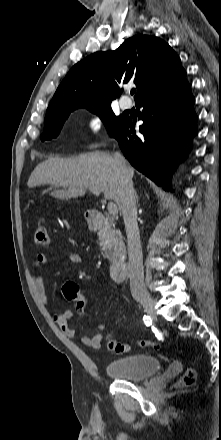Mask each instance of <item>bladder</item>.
I'll use <instances>...</instances> for the list:
<instances>
[{"label": "bladder", "mask_w": 221, "mask_h": 440, "mask_svg": "<svg viewBox=\"0 0 221 440\" xmlns=\"http://www.w3.org/2000/svg\"><path fill=\"white\" fill-rule=\"evenodd\" d=\"M160 368L161 361L157 356L137 354L109 361L105 371L117 379L141 381L157 374Z\"/></svg>", "instance_id": "31cf9c89"}]
</instances>
